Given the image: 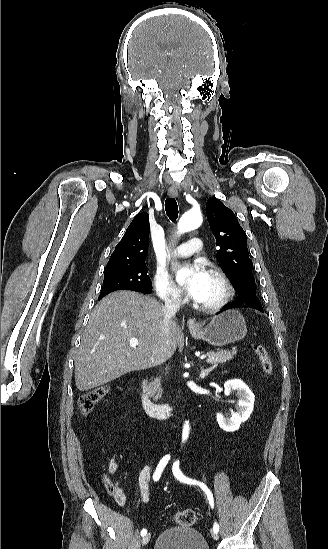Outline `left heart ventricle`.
Instances as JSON below:
<instances>
[{
  "mask_svg": "<svg viewBox=\"0 0 328 549\" xmlns=\"http://www.w3.org/2000/svg\"><path fill=\"white\" fill-rule=\"evenodd\" d=\"M199 268L205 270L206 272L210 269L207 266H198ZM223 293V285L221 281L213 274L207 272L205 286L202 292V295L197 302L200 303H212L218 300Z\"/></svg>",
  "mask_w": 328,
  "mask_h": 549,
  "instance_id": "b2bd125f",
  "label": "left heart ventricle"
}]
</instances>
